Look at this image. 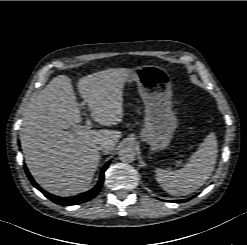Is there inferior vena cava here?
I'll return each instance as SVG.
<instances>
[{"label": "inferior vena cava", "instance_id": "1", "mask_svg": "<svg viewBox=\"0 0 247 245\" xmlns=\"http://www.w3.org/2000/svg\"><path fill=\"white\" fill-rule=\"evenodd\" d=\"M99 150L103 151V152H108L111 150L112 148V143L111 142H102L100 145H99Z\"/></svg>", "mask_w": 247, "mask_h": 245}]
</instances>
